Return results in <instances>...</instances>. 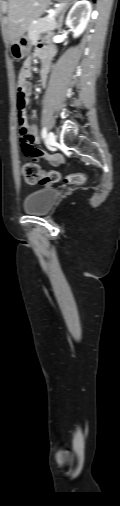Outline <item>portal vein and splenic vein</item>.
<instances>
[{
	"instance_id": "1",
	"label": "portal vein and splenic vein",
	"mask_w": 120,
	"mask_h": 506,
	"mask_svg": "<svg viewBox=\"0 0 120 506\" xmlns=\"http://www.w3.org/2000/svg\"><path fill=\"white\" fill-rule=\"evenodd\" d=\"M56 12H57V11H52V12H50V14L47 16V19H48V20L52 19V18L55 16Z\"/></svg>"
}]
</instances>
